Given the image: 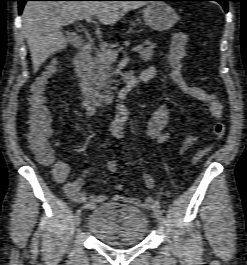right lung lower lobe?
I'll return each instance as SVG.
<instances>
[{
  "mask_svg": "<svg viewBox=\"0 0 247 265\" xmlns=\"http://www.w3.org/2000/svg\"><path fill=\"white\" fill-rule=\"evenodd\" d=\"M17 1L19 2V13L21 14L24 4L26 3V1H30V0H17ZM44 1H48V0H44ZM51 1H58V0H51ZM67 1H105V0H67Z\"/></svg>",
  "mask_w": 247,
  "mask_h": 265,
  "instance_id": "98d812e1",
  "label": "right lung lower lobe"
}]
</instances>
